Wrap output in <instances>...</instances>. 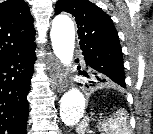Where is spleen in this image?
Listing matches in <instances>:
<instances>
[{
    "instance_id": "obj_1",
    "label": "spleen",
    "mask_w": 153,
    "mask_h": 134,
    "mask_svg": "<svg viewBox=\"0 0 153 134\" xmlns=\"http://www.w3.org/2000/svg\"><path fill=\"white\" fill-rule=\"evenodd\" d=\"M88 118H85L77 127L78 134H85ZM97 128L103 134H131L128 114L125 108H119L110 117L100 123Z\"/></svg>"
}]
</instances>
